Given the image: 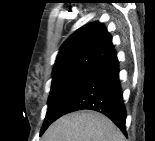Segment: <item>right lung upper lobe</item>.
Listing matches in <instances>:
<instances>
[{
    "label": "right lung upper lobe",
    "mask_w": 155,
    "mask_h": 141,
    "mask_svg": "<svg viewBox=\"0 0 155 141\" xmlns=\"http://www.w3.org/2000/svg\"><path fill=\"white\" fill-rule=\"evenodd\" d=\"M113 51L111 37L103 24L85 25L60 48L53 76L74 69L96 70Z\"/></svg>",
    "instance_id": "obj_1"
}]
</instances>
